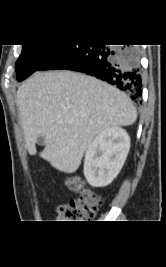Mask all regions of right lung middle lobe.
Listing matches in <instances>:
<instances>
[{"instance_id": "dd1d6c3e", "label": "right lung middle lobe", "mask_w": 166, "mask_h": 267, "mask_svg": "<svg viewBox=\"0 0 166 267\" xmlns=\"http://www.w3.org/2000/svg\"><path fill=\"white\" fill-rule=\"evenodd\" d=\"M59 47L57 44L23 45L16 63L17 80L22 81L37 71Z\"/></svg>"}]
</instances>
